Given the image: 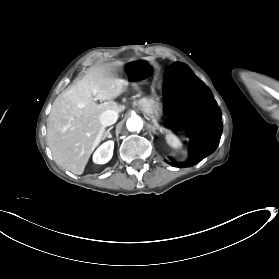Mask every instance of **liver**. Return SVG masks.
<instances>
[{
    "instance_id": "liver-1",
    "label": "liver",
    "mask_w": 279,
    "mask_h": 279,
    "mask_svg": "<svg viewBox=\"0 0 279 279\" xmlns=\"http://www.w3.org/2000/svg\"><path fill=\"white\" fill-rule=\"evenodd\" d=\"M127 85L111 64L90 70L74 87L57 96L47 119V145L58 165L73 174L84 172L93 150L105 138L100 116L106 110L120 112L113 99ZM94 99L107 101L97 104Z\"/></svg>"
}]
</instances>
